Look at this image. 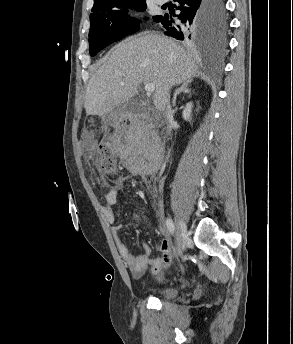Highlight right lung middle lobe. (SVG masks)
I'll use <instances>...</instances> for the list:
<instances>
[{
	"label": "right lung middle lobe",
	"mask_w": 293,
	"mask_h": 344,
	"mask_svg": "<svg viewBox=\"0 0 293 344\" xmlns=\"http://www.w3.org/2000/svg\"><path fill=\"white\" fill-rule=\"evenodd\" d=\"M146 7L145 0H121L92 10L89 31L90 55L94 56L109 44L136 32L140 21L130 18L127 14L128 8L144 11ZM159 17L153 16V20ZM216 22L220 31H223L225 10L222 0H216Z\"/></svg>",
	"instance_id": "dd1d6c3e"
}]
</instances>
